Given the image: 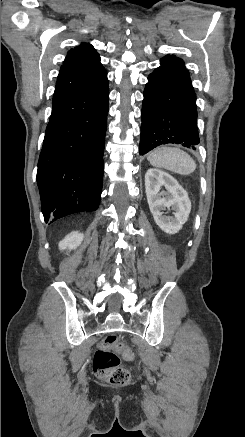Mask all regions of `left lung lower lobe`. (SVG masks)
I'll return each instance as SVG.
<instances>
[{"label":"left lung lower lobe","instance_id":"0a47b994","mask_svg":"<svg viewBox=\"0 0 245 437\" xmlns=\"http://www.w3.org/2000/svg\"><path fill=\"white\" fill-rule=\"evenodd\" d=\"M148 76L142 106L140 155L164 144L196 150V94L182 59L166 55Z\"/></svg>","mask_w":245,"mask_h":437}]
</instances>
